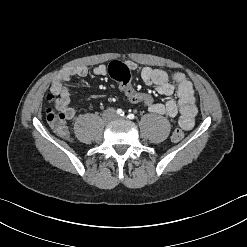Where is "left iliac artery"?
<instances>
[{"label": "left iliac artery", "instance_id": "left-iliac-artery-1", "mask_svg": "<svg viewBox=\"0 0 247 247\" xmlns=\"http://www.w3.org/2000/svg\"><path fill=\"white\" fill-rule=\"evenodd\" d=\"M127 118H129V119L133 120V119L135 118V115H134V114H132V113H130V114H128Z\"/></svg>", "mask_w": 247, "mask_h": 247}]
</instances>
